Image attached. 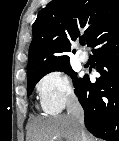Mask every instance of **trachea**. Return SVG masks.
I'll list each match as a JSON object with an SVG mask.
<instances>
[{
    "label": "trachea",
    "instance_id": "3493384b",
    "mask_svg": "<svg viewBox=\"0 0 119 141\" xmlns=\"http://www.w3.org/2000/svg\"><path fill=\"white\" fill-rule=\"evenodd\" d=\"M81 45H85V40L80 41Z\"/></svg>",
    "mask_w": 119,
    "mask_h": 141
}]
</instances>
